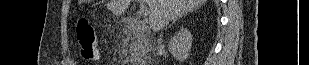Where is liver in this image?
Masks as SVG:
<instances>
[{
  "instance_id": "liver-1",
  "label": "liver",
  "mask_w": 309,
  "mask_h": 65,
  "mask_svg": "<svg viewBox=\"0 0 309 65\" xmlns=\"http://www.w3.org/2000/svg\"><path fill=\"white\" fill-rule=\"evenodd\" d=\"M132 0H108L107 9L120 16L129 7ZM149 6V25L154 31H158L183 15L197 9L206 0H145Z\"/></svg>"
}]
</instances>
